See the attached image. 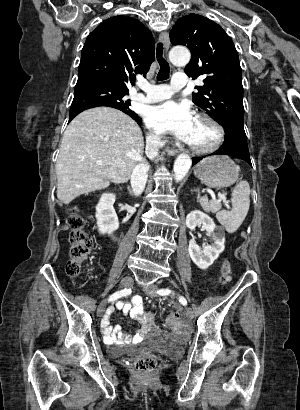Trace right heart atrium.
<instances>
[{"instance_id":"1","label":"right heart atrium","mask_w":300,"mask_h":410,"mask_svg":"<svg viewBox=\"0 0 300 410\" xmlns=\"http://www.w3.org/2000/svg\"><path fill=\"white\" fill-rule=\"evenodd\" d=\"M148 143L151 149H158L164 144L162 136L155 132L148 134Z\"/></svg>"}]
</instances>
